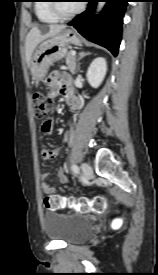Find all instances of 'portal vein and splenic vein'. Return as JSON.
<instances>
[{"instance_id":"18ae733b","label":"portal vein and splenic vein","mask_w":158,"mask_h":275,"mask_svg":"<svg viewBox=\"0 0 158 275\" xmlns=\"http://www.w3.org/2000/svg\"><path fill=\"white\" fill-rule=\"evenodd\" d=\"M71 54H72L73 56H75V55H76V51H71Z\"/></svg>"}]
</instances>
